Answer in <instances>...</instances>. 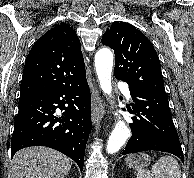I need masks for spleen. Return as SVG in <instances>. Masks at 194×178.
<instances>
[{
	"mask_svg": "<svg viewBox=\"0 0 194 178\" xmlns=\"http://www.w3.org/2000/svg\"><path fill=\"white\" fill-rule=\"evenodd\" d=\"M137 178H181V170L177 160L165 155L151 168V173L136 168Z\"/></svg>",
	"mask_w": 194,
	"mask_h": 178,
	"instance_id": "1",
	"label": "spleen"
}]
</instances>
